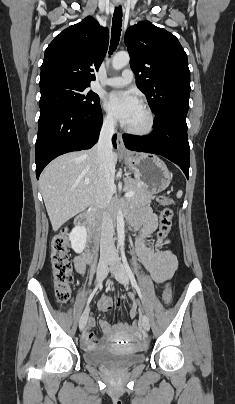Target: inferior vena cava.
Returning a JSON list of instances; mask_svg holds the SVG:
<instances>
[{"mask_svg": "<svg viewBox=\"0 0 235 404\" xmlns=\"http://www.w3.org/2000/svg\"><path fill=\"white\" fill-rule=\"evenodd\" d=\"M116 121L108 117L104 120L95 151L99 166V180L96 192V203L101 211L102 227L100 240L101 256L114 253L113 220L109 205L114 190L115 164L113 156L112 136Z\"/></svg>", "mask_w": 235, "mask_h": 404, "instance_id": "obj_1", "label": "inferior vena cava"}]
</instances>
